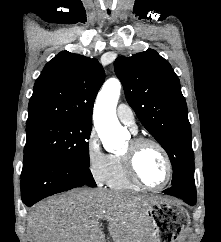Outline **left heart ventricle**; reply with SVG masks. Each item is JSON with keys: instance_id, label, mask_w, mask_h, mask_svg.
I'll list each match as a JSON object with an SVG mask.
<instances>
[{"instance_id": "obj_1", "label": "left heart ventricle", "mask_w": 221, "mask_h": 242, "mask_svg": "<svg viewBox=\"0 0 221 242\" xmlns=\"http://www.w3.org/2000/svg\"><path fill=\"white\" fill-rule=\"evenodd\" d=\"M131 142L125 150L130 147ZM136 166L142 180L151 186L160 185L166 178V162L161 152L153 145L140 149Z\"/></svg>"}]
</instances>
